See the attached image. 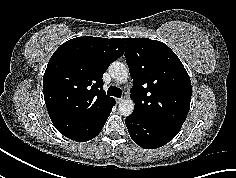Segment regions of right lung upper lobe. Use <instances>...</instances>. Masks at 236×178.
Returning <instances> with one entry per match:
<instances>
[{"label":"right lung upper lobe","instance_id":"obj_1","mask_svg":"<svg viewBox=\"0 0 236 178\" xmlns=\"http://www.w3.org/2000/svg\"><path fill=\"white\" fill-rule=\"evenodd\" d=\"M120 38L77 37L51 56L43 77L50 119L71 140L83 141L105 124L115 100L103 90L102 76L124 53Z\"/></svg>","mask_w":236,"mask_h":178}]
</instances>
